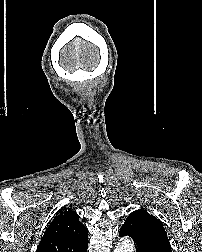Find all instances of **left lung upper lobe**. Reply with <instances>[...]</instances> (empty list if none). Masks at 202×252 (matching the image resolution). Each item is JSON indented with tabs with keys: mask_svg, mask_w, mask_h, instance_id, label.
Listing matches in <instances>:
<instances>
[{
	"mask_svg": "<svg viewBox=\"0 0 202 252\" xmlns=\"http://www.w3.org/2000/svg\"><path fill=\"white\" fill-rule=\"evenodd\" d=\"M135 230L137 241L149 249L172 252L166 231L159 219L146 210H137L129 214L125 223Z\"/></svg>",
	"mask_w": 202,
	"mask_h": 252,
	"instance_id": "left-lung-upper-lobe-1",
	"label": "left lung upper lobe"
}]
</instances>
